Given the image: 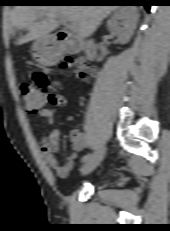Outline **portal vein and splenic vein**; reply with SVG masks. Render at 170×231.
Masks as SVG:
<instances>
[{"label":"portal vein and splenic vein","mask_w":170,"mask_h":231,"mask_svg":"<svg viewBox=\"0 0 170 231\" xmlns=\"http://www.w3.org/2000/svg\"><path fill=\"white\" fill-rule=\"evenodd\" d=\"M59 21H60L63 25H65L66 27H68L69 29L74 30V25L68 23V22H67L65 19H63L62 17H59Z\"/></svg>","instance_id":"1"}]
</instances>
